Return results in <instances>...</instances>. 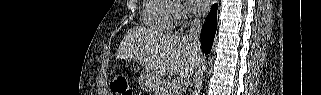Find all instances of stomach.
I'll list each match as a JSON object with an SVG mask.
<instances>
[{
    "label": "stomach",
    "instance_id": "1",
    "mask_svg": "<svg viewBox=\"0 0 321 95\" xmlns=\"http://www.w3.org/2000/svg\"><path fill=\"white\" fill-rule=\"evenodd\" d=\"M130 70L134 73H140L138 83L143 90L151 91L155 89V87L157 86L158 78L154 74L146 69H140V67L138 65H135L134 63L131 64Z\"/></svg>",
    "mask_w": 321,
    "mask_h": 95
}]
</instances>
